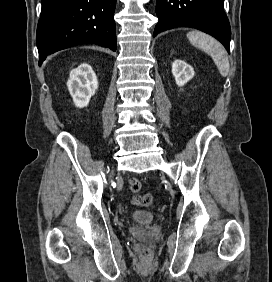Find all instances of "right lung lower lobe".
<instances>
[{
  "instance_id": "1",
  "label": "right lung lower lobe",
  "mask_w": 272,
  "mask_h": 282,
  "mask_svg": "<svg viewBox=\"0 0 272 282\" xmlns=\"http://www.w3.org/2000/svg\"><path fill=\"white\" fill-rule=\"evenodd\" d=\"M36 43L39 65L68 47L94 43L116 51V0H41Z\"/></svg>"
}]
</instances>
